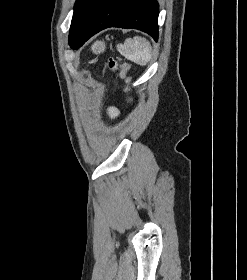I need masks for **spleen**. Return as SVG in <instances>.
<instances>
[{
	"instance_id": "spleen-1",
	"label": "spleen",
	"mask_w": 247,
	"mask_h": 280,
	"mask_svg": "<svg viewBox=\"0 0 247 280\" xmlns=\"http://www.w3.org/2000/svg\"><path fill=\"white\" fill-rule=\"evenodd\" d=\"M117 50L126 59L141 66L147 65L152 57V47L149 41L139 36L126 39L124 44L117 46Z\"/></svg>"
}]
</instances>
